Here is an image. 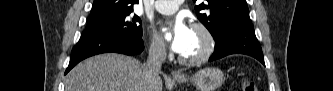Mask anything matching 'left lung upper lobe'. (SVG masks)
Here are the masks:
<instances>
[{"mask_svg": "<svg viewBox=\"0 0 333 91\" xmlns=\"http://www.w3.org/2000/svg\"><path fill=\"white\" fill-rule=\"evenodd\" d=\"M195 9L198 19L209 30L214 40L230 27L251 23L246 0H207ZM201 10H208V13H200Z\"/></svg>", "mask_w": 333, "mask_h": 91, "instance_id": "5c2ea615", "label": "left lung upper lobe"}]
</instances>
